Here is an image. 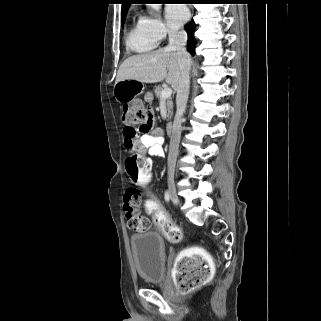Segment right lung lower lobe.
<instances>
[{
  "label": "right lung lower lobe",
  "mask_w": 321,
  "mask_h": 321,
  "mask_svg": "<svg viewBox=\"0 0 321 321\" xmlns=\"http://www.w3.org/2000/svg\"><path fill=\"white\" fill-rule=\"evenodd\" d=\"M185 31L188 34V42H187V46H188V51L194 55V50H195V38H194V31H195V23L192 20L191 22L187 23L184 27Z\"/></svg>",
  "instance_id": "obj_1"
}]
</instances>
